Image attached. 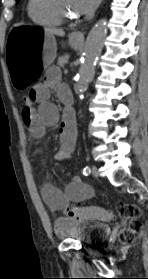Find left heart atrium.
I'll list each match as a JSON object with an SVG mask.
<instances>
[{
  "label": "left heart atrium",
  "instance_id": "left-heart-atrium-1",
  "mask_svg": "<svg viewBox=\"0 0 148 279\" xmlns=\"http://www.w3.org/2000/svg\"><path fill=\"white\" fill-rule=\"evenodd\" d=\"M100 0H74L75 9L79 14L89 15L98 6Z\"/></svg>",
  "mask_w": 148,
  "mask_h": 279
}]
</instances>
